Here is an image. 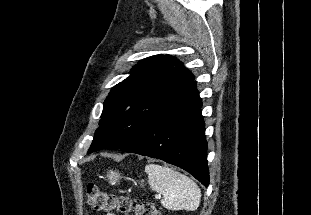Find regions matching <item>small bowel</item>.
Listing matches in <instances>:
<instances>
[{
  "label": "small bowel",
  "mask_w": 311,
  "mask_h": 215,
  "mask_svg": "<svg viewBox=\"0 0 311 215\" xmlns=\"http://www.w3.org/2000/svg\"><path fill=\"white\" fill-rule=\"evenodd\" d=\"M107 215H115L114 213H108Z\"/></svg>",
  "instance_id": "1"
}]
</instances>
